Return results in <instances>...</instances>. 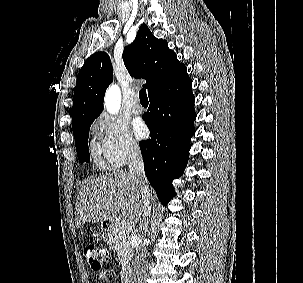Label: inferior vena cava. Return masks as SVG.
I'll list each match as a JSON object with an SVG mask.
<instances>
[{
	"label": "inferior vena cava",
	"instance_id": "602c4592",
	"mask_svg": "<svg viewBox=\"0 0 303 283\" xmlns=\"http://www.w3.org/2000/svg\"><path fill=\"white\" fill-rule=\"evenodd\" d=\"M128 166L129 174L134 179H145L144 164L141 155L140 148L136 145H132L128 151ZM142 197V211L143 217L149 215L151 211L150 199L148 194V188L146 187L141 194ZM146 226L141 224V228ZM146 257V249L138 247L136 249V256L133 266V281L132 283H145V271L146 263L144 261Z\"/></svg>",
	"mask_w": 303,
	"mask_h": 283
}]
</instances>
